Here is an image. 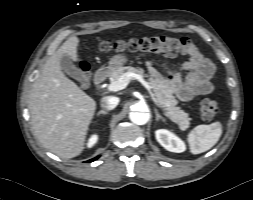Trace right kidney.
Listing matches in <instances>:
<instances>
[{
	"instance_id": "right-kidney-1",
	"label": "right kidney",
	"mask_w": 253,
	"mask_h": 200,
	"mask_svg": "<svg viewBox=\"0 0 253 200\" xmlns=\"http://www.w3.org/2000/svg\"><path fill=\"white\" fill-rule=\"evenodd\" d=\"M97 140H98V135L96 134L91 135V137L88 139V142L86 144L87 148L93 147L96 144Z\"/></svg>"
}]
</instances>
